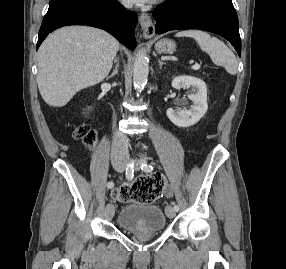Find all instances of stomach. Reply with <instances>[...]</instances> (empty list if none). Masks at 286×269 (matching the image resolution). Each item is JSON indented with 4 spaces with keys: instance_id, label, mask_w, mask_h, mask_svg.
Wrapping results in <instances>:
<instances>
[{
    "instance_id": "0dacf381",
    "label": "stomach",
    "mask_w": 286,
    "mask_h": 269,
    "mask_svg": "<svg viewBox=\"0 0 286 269\" xmlns=\"http://www.w3.org/2000/svg\"><path fill=\"white\" fill-rule=\"evenodd\" d=\"M155 47L161 53H172L176 48V44L172 40L163 39L158 41Z\"/></svg>"
}]
</instances>
